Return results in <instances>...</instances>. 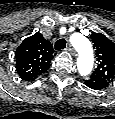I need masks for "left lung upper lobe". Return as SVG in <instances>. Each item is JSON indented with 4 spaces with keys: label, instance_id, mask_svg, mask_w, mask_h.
<instances>
[{
    "label": "left lung upper lobe",
    "instance_id": "obj_1",
    "mask_svg": "<svg viewBox=\"0 0 115 119\" xmlns=\"http://www.w3.org/2000/svg\"><path fill=\"white\" fill-rule=\"evenodd\" d=\"M91 40L96 50L98 65L94 75L100 76L109 82L115 80V43L101 33H92Z\"/></svg>",
    "mask_w": 115,
    "mask_h": 119
}]
</instances>
